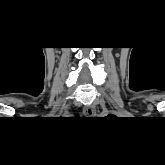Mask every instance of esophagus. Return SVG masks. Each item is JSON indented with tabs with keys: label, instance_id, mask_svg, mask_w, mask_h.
I'll list each match as a JSON object with an SVG mask.
<instances>
[{
	"label": "esophagus",
	"instance_id": "esophagus-1",
	"mask_svg": "<svg viewBox=\"0 0 165 165\" xmlns=\"http://www.w3.org/2000/svg\"><path fill=\"white\" fill-rule=\"evenodd\" d=\"M83 113L86 117H93L96 114V110L92 105H86L83 108Z\"/></svg>",
	"mask_w": 165,
	"mask_h": 165
}]
</instances>
